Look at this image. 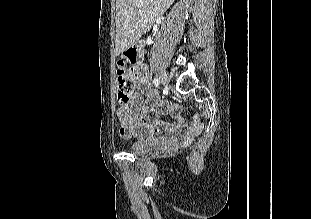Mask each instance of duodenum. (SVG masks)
<instances>
[{"mask_svg":"<svg viewBox=\"0 0 311 219\" xmlns=\"http://www.w3.org/2000/svg\"><path fill=\"white\" fill-rule=\"evenodd\" d=\"M144 42L139 41L136 45L132 46L129 49L130 54L134 57V60L138 63L142 61L141 50L143 48Z\"/></svg>","mask_w":311,"mask_h":219,"instance_id":"410a0bca","label":"duodenum"}]
</instances>
